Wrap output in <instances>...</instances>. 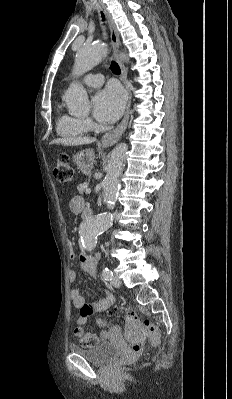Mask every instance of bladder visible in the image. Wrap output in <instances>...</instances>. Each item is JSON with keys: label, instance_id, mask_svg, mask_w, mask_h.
I'll use <instances>...</instances> for the list:
<instances>
[{"label": "bladder", "instance_id": "bladder-1", "mask_svg": "<svg viewBox=\"0 0 232 399\" xmlns=\"http://www.w3.org/2000/svg\"><path fill=\"white\" fill-rule=\"evenodd\" d=\"M70 350L97 364L107 363L121 354L120 347L111 341H100L88 348L73 344Z\"/></svg>", "mask_w": 232, "mask_h": 399}]
</instances>
